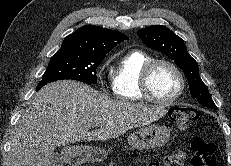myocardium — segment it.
<instances>
[{
	"label": "myocardium",
	"instance_id": "obj_1",
	"mask_svg": "<svg viewBox=\"0 0 231 166\" xmlns=\"http://www.w3.org/2000/svg\"><path fill=\"white\" fill-rule=\"evenodd\" d=\"M160 64L169 66L176 73V75L178 77V81H179L178 90L176 91V93L173 96H171L168 99H160V98L155 97L153 95V93L151 92V89H150L149 81H150L151 73H152L153 69L157 65H160ZM139 87H140V92H141L142 96L146 100L153 102L155 104H158V105L167 106V105L174 103L184 92L185 76H184L182 70L174 62H172L168 59H164V58L152 59L147 64H145V66L141 70Z\"/></svg>",
	"mask_w": 231,
	"mask_h": 166
}]
</instances>
